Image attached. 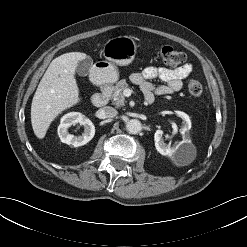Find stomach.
<instances>
[{
  "instance_id": "0dacf381",
  "label": "stomach",
  "mask_w": 247,
  "mask_h": 247,
  "mask_svg": "<svg viewBox=\"0 0 247 247\" xmlns=\"http://www.w3.org/2000/svg\"><path fill=\"white\" fill-rule=\"evenodd\" d=\"M103 56L106 61L97 62L93 76L100 84L114 83L119 78L116 65L130 64L137 53L135 41L130 36H118L109 39L103 46Z\"/></svg>"
}]
</instances>
